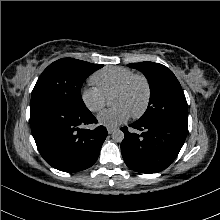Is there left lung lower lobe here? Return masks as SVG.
Here are the masks:
<instances>
[{"label": "left lung lower lobe", "mask_w": 220, "mask_h": 220, "mask_svg": "<svg viewBox=\"0 0 220 220\" xmlns=\"http://www.w3.org/2000/svg\"><path fill=\"white\" fill-rule=\"evenodd\" d=\"M130 127L142 131L131 133L122 127L121 152L126 165L140 173H158L166 169L181 150L187 131L163 121L134 122Z\"/></svg>", "instance_id": "0a47b994"}]
</instances>
